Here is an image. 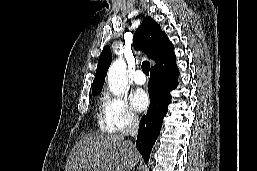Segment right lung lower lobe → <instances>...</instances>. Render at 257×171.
<instances>
[{"label": "right lung lower lobe", "mask_w": 257, "mask_h": 171, "mask_svg": "<svg viewBox=\"0 0 257 171\" xmlns=\"http://www.w3.org/2000/svg\"><path fill=\"white\" fill-rule=\"evenodd\" d=\"M178 75L179 69L176 66V60L169 64L151 68L148 84L150 106L147 114L143 115L140 121L136 142V147L146 163L149 160L153 144L160 133L162 119L168 111L167 106L171 103L169 92L178 84L175 80Z\"/></svg>", "instance_id": "98d812e1"}]
</instances>
